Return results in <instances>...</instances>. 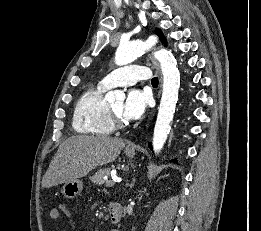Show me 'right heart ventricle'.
Wrapping results in <instances>:
<instances>
[{
	"label": "right heart ventricle",
	"instance_id": "obj_1",
	"mask_svg": "<svg viewBox=\"0 0 261 231\" xmlns=\"http://www.w3.org/2000/svg\"><path fill=\"white\" fill-rule=\"evenodd\" d=\"M108 88L99 84L88 89L77 100L72 117L73 129L82 135L107 136L114 130L104 93Z\"/></svg>",
	"mask_w": 261,
	"mask_h": 231
}]
</instances>
